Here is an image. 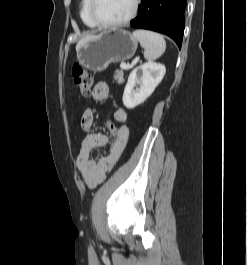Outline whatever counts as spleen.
I'll return each instance as SVG.
<instances>
[{"instance_id": "1", "label": "spleen", "mask_w": 247, "mask_h": 265, "mask_svg": "<svg viewBox=\"0 0 247 265\" xmlns=\"http://www.w3.org/2000/svg\"><path fill=\"white\" fill-rule=\"evenodd\" d=\"M132 35L140 42L141 47L144 49L145 59H157L165 52L166 42L164 37L159 33L138 29L133 31Z\"/></svg>"}]
</instances>
